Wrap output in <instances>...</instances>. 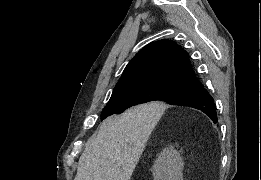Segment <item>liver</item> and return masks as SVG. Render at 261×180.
I'll list each match as a JSON object with an SVG mask.
<instances>
[{
    "label": "liver",
    "mask_w": 261,
    "mask_h": 180,
    "mask_svg": "<svg viewBox=\"0 0 261 180\" xmlns=\"http://www.w3.org/2000/svg\"><path fill=\"white\" fill-rule=\"evenodd\" d=\"M159 106L150 102L106 118L88 140L75 180H130L157 124Z\"/></svg>",
    "instance_id": "liver-1"
}]
</instances>
